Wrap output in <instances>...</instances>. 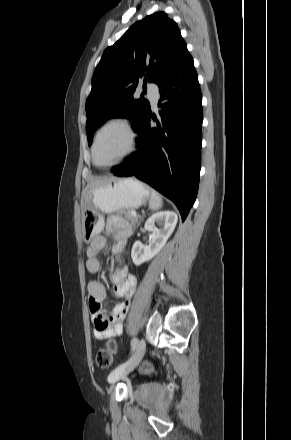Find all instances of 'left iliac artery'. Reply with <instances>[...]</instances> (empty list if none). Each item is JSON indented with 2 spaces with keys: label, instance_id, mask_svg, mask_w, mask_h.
Instances as JSON below:
<instances>
[{
  "label": "left iliac artery",
  "instance_id": "obj_1",
  "mask_svg": "<svg viewBox=\"0 0 291 440\" xmlns=\"http://www.w3.org/2000/svg\"><path fill=\"white\" fill-rule=\"evenodd\" d=\"M138 346V339L137 338H133L131 341V348L134 351L136 349V347Z\"/></svg>",
  "mask_w": 291,
  "mask_h": 440
}]
</instances>
